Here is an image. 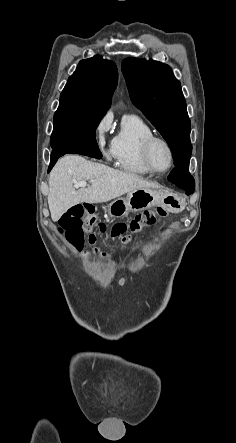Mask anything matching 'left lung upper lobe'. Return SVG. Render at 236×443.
<instances>
[{
  "label": "left lung upper lobe",
  "instance_id": "left-lung-upper-lobe-1",
  "mask_svg": "<svg viewBox=\"0 0 236 443\" xmlns=\"http://www.w3.org/2000/svg\"><path fill=\"white\" fill-rule=\"evenodd\" d=\"M121 68L133 104L169 144L175 166L189 163L191 122L181 84L170 66L154 60L128 58Z\"/></svg>",
  "mask_w": 236,
  "mask_h": 443
}]
</instances>
